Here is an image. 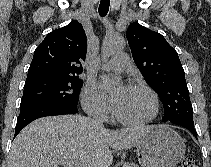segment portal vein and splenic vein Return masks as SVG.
<instances>
[{
    "mask_svg": "<svg viewBox=\"0 0 211 167\" xmlns=\"http://www.w3.org/2000/svg\"><path fill=\"white\" fill-rule=\"evenodd\" d=\"M59 164L64 167H78L79 163L75 161H60Z\"/></svg>",
    "mask_w": 211,
    "mask_h": 167,
    "instance_id": "1",
    "label": "portal vein and splenic vein"
}]
</instances>
